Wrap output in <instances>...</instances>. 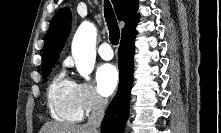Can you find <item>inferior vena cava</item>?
<instances>
[{
  "mask_svg": "<svg viewBox=\"0 0 221 133\" xmlns=\"http://www.w3.org/2000/svg\"><path fill=\"white\" fill-rule=\"evenodd\" d=\"M106 105V99L101 98L99 95L94 96L92 111L86 123V127L90 130V133H100V124Z\"/></svg>",
  "mask_w": 221,
  "mask_h": 133,
  "instance_id": "obj_1",
  "label": "inferior vena cava"
}]
</instances>
